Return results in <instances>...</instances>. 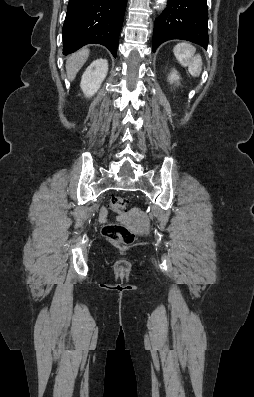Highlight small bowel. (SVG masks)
<instances>
[{
    "label": "small bowel",
    "instance_id": "1",
    "mask_svg": "<svg viewBox=\"0 0 254 397\" xmlns=\"http://www.w3.org/2000/svg\"><path fill=\"white\" fill-rule=\"evenodd\" d=\"M119 219H134L138 223L143 222V216L139 210H133L128 214L120 216ZM99 220L103 223L108 221V211L106 207L100 209Z\"/></svg>",
    "mask_w": 254,
    "mask_h": 397
}]
</instances>
